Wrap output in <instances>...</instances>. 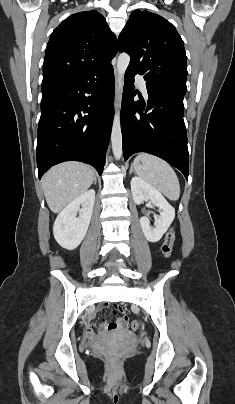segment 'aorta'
<instances>
[{
	"instance_id": "1",
	"label": "aorta",
	"mask_w": 235,
	"mask_h": 404,
	"mask_svg": "<svg viewBox=\"0 0 235 404\" xmlns=\"http://www.w3.org/2000/svg\"><path fill=\"white\" fill-rule=\"evenodd\" d=\"M130 56L127 53H121L117 60V71H118V84H117V96H118V104L116 105L118 110H116L112 133H111V143H112V151L114 157L119 160L122 156V133H121V124H120V103L122 97L123 90V78L125 71L129 65Z\"/></svg>"
}]
</instances>
